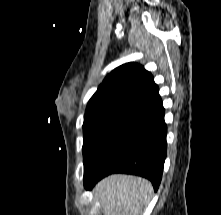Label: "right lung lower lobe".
Wrapping results in <instances>:
<instances>
[{
  "instance_id": "1",
  "label": "right lung lower lobe",
  "mask_w": 221,
  "mask_h": 215,
  "mask_svg": "<svg viewBox=\"0 0 221 215\" xmlns=\"http://www.w3.org/2000/svg\"><path fill=\"white\" fill-rule=\"evenodd\" d=\"M167 126L159 97L136 109L109 137L97 157L84 171V186L91 189L112 173L139 175L157 191L166 158Z\"/></svg>"
}]
</instances>
